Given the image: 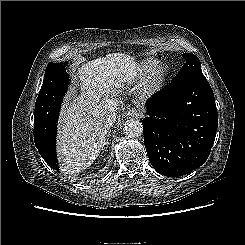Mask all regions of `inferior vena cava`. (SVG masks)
<instances>
[{"label": "inferior vena cava", "instance_id": "1", "mask_svg": "<svg viewBox=\"0 0 245 245\" xmlns=\"http://www.w3.org/2000/svg\"><path fill=\"white\" fill-rule=\"evenodd\" d=\"M117 103L111 99L104 98L96 106V113L99 117L106 123V126H112L116 120V111Z\"/></svg>", "mask_w": 245, "mask_h": 245}]
</instances>
